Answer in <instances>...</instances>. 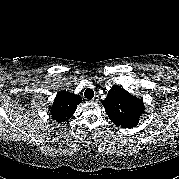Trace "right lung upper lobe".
Here are the masks:
<instances>
[{
	"instance_id": "cb5924a9",
	"label": "right lung upper lobe",
	"mask_w": 179,
	"mask_h": 179,
	"mask_svg": "<svg viewBox=\"0 0 179 179\" xmlns=\"http://www.w3.org/2000/svg\"><path fill=\"white\" fill-rule=\"evenodd\" d=\"M81 102L82 99L79 95L61 91L55 97L53 105L49 108L50 115L57 122L68 120Z\"/></svg>"
}]
</instances>
